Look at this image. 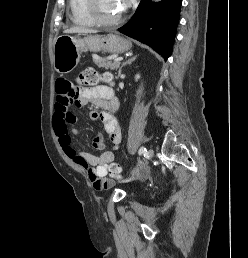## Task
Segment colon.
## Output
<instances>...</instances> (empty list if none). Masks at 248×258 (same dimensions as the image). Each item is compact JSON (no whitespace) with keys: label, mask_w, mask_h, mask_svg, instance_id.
<instances>
[{"label":"colon","mask_w":248,"mask_h":258,"mask_svg":"<svg viewBox=\"0 0 248 258\" xmlns=\"http://www.w3.org/2000/svg\"><path fill=\"white\" fill-rule=\"evenodd\" d=\"M101 79H108V76H101L96 70L92 68H87L84 71L80 72L77 80L76 87L73 89V95L77 97L80 90L84 87L96 85ZM111 179L120 180L122 178L121 168L117 164H113L110 169Z\"/></svg>","instance_id":"colon-1"}]
</instances>
